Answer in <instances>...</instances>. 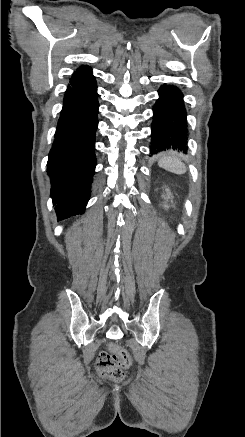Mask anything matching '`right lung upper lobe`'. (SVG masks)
I'll return each mask as SVG.
<instances>
[{
    "mask_svg": "<svg viewBox=\"0 0 245 437\" xmlns=\"http://www.w3.org/2000/svg\"><path fill=\"white\" fill-rule=\"evenodd\" d=\"M95 83L92 69L89 66H80L72 75L67 90L89 86Z\"/></svg>",
    "mask_w": 245,
    "mask_h": 437,
    "instance_id": "cb5924a9",
    "label": "right lung upper lobe"
}]
</instances>
